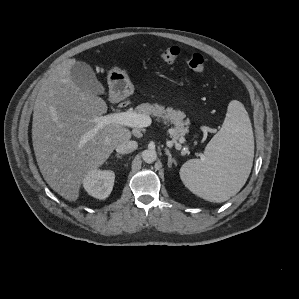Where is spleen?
Returning a JSON list of instances; mask_svg holds the SVG:
<instances>
[{
  "instance_id": "1",
  "label": "spleen",
  "mask_w": 299,
  "mask_h": 299,
  "mask_svg": "<svg viewBox=\"0 0 299 299\" xmlns=\"http://www.w3.org/2000/svg\"><path fill=\"white\" fill-rule=\"evenodd\" d=\"M254 158V137L243 104L229 103L220 131L207 144L204 157L185 162L180 169L184 185L210 202H224L246 183Z\"/></svg>"
}]
</instances>
